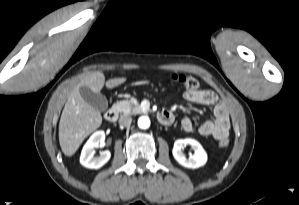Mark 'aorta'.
<instances>
[{
    "label": "aorta",
    "instance_id": "762f6f07",
    "mask_svg": "<svg viewBox=\"0 0 299 205\" xmlns=\"http://www.w3.org/2000/svg\"><path fill=\"white\" fill-rule=\"evenodd\" d=\"M138 126L141 129H147L150 126V119L147 116H142L138 119Z\"/></svg>",
    "mask_w": 299,
    "mask_h": 205
}]
</instances>
